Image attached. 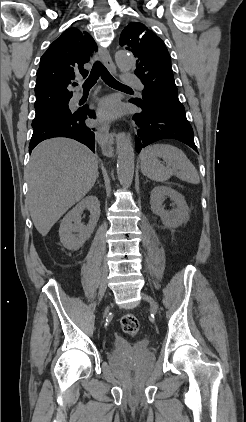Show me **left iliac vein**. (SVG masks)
<instances>
[{"label": "left iliac vein", "mask_w": 246, "mask_h": 422, "mask_svg": "<svg viewBox=\"0 0 246 422\" xmlns=\"http://www.w3.org/2000/svg\"><path fill=\"white\" fill-rule=\"evenodd\" d=\"M142 297H143V299L145 301H147L150 304L151 309L153 310V312H157V310H158V304H157V302L151 296H149L147 294H142Z\"/></svg>", "instance_id": "left-iliac-vein-1"}]
</instances>
